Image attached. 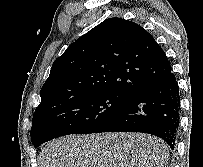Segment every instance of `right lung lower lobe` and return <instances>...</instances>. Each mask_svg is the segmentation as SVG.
I'll return each mask as SVG.
<instances>
[{"instance_id":"obj_1","label":"right lung lower lobe","mask_w":203,"mask_h":167,"mask_svg":"<svg viewBox=\"0 0 203 167\" xmlns=\"http://www.w3.org/2000/svg\"><path fill=\"white\" fill-rule=\"evenodd\" d=\"M180 119V95L175 75L142 88L92 133L142 132L163 139L173 150Z\"/></svg>"}]
</instances>
